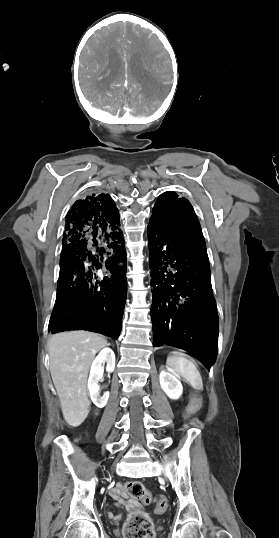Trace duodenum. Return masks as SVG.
Returning a JSON list of instances; mask_svg holds the SVG:
<instances>
[{"instance_id":"duodenum-1","label":"duodenum","mask_w":279,"mask_h":538,"mask_svg":"<svg viewBox=\"0 0 279 538\" xmlns=\"http://www.w3.org/2000/svg\"><path fill=\"white\" fill-rule=\"evenodd\" d=\"M94 422H98V419H94Z\"/></svg>"}]
</instances>
